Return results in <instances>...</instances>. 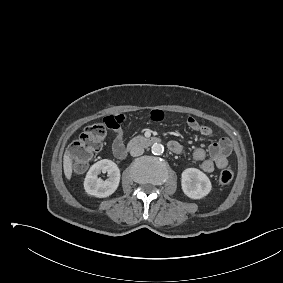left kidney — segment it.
I'll list each match as a JSON object with an SVG mask.
<instances>
[{
	"label": "left kidney",
	"instance_id": "left-kidney-1",
	"mask_svg": "<svg viewBox=\"0 0 283 283\" xmlns=\"http://www.w3.org/2000/svg\"><path fill=\"white\" fill-rule=\"evenodd\" d=\"M181 186L184 194L191 199L205 197L212 188L207 175L196 168H187L182 172Z\"/></svg>",
	"mask_w": 283,
	"mask_h": 283
}]
</instances>
